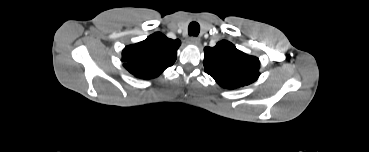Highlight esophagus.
<instances>
[{"instance_id": "1", "label": "esophagus", "mask_w": 369, "mask_h": 152, "mask_svg": "<svg viewBox=\"0 0 369 152\" xmlns=\"http://www.w3.org/2000/svg\"><path fill=\"white\" fill-rule=\"evenodd\" d=\"M188 43L192 44V45H199L200 44V39L197 38V37H191V38H189Z\"/></svg>"}]
</instances>
